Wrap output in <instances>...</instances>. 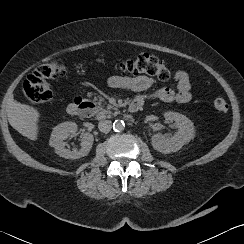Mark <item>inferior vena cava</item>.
<instances>
[{
	"mask_svg": "<svg viewBox=\"0 0 244 244\" xmlns=\"http://www.w3.org/2000/svg\"><path fill=\"white\" fill-rule=\"evenodd\" d=\"M98 128L101 131H103V132L109 131L112 128V122H111V120H108V119H105V118L99 120V122H98Z\"/></svg>",
	"mask_w": 244,
	"mask_h": 244,
	"instance_id": "602c4592",
	"label": "inferior vena cava"
}]
</instances>
